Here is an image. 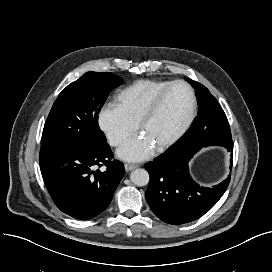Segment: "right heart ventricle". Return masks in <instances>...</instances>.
I'll return each instance as SVG.
<instances>
[{
  "label": "right heart ventricle",
  "mask_w": 272,
  "mask_h": 272,
  "mask_svg": "<svg viewBox=\"0 0 272 272\" xmlns=\"http://www.w3.org/2000/svg\"><path fill=\"white\" fill-rule=\"evenodd\" d=\"M170 83V81L155 79L137 80L118 93L117 105L137 124L154 97Z\"/></svg>",
  "instance_id": "right-heart-ventricle-1"
}]
</instances>
